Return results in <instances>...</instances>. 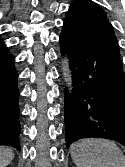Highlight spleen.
Returning <instances> with one entry per match:
<instances>
[{"label": "spleen", "instance_id": "spleen-1", "mask_svg": "<svg viewBox=\"0 0 125 167\" xmlns=\"http://www.w3.org/2000/svg\"><path fill=\"white\" fill-rule=\"evenodd\" d=\"M70 153L77 167H125V157L115 142L87 138L72 144Z\"/></svg>", "mask_w": 125, "mask_h": 167}]
</instances>
